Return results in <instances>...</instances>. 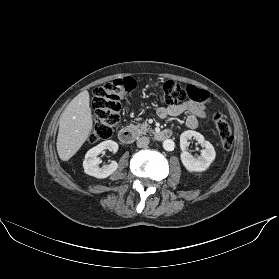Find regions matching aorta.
Returning <instances> with one entry per match:
<instances>
[{"mask_svg":"<svg viewBox=\"0 0 279 279\" xmlns=\"http://www.w3.org/2000/svg\"><path fill=\"white\" fill-rule=\"evenodd\" d=\"M175 147V143L173 140L171 139H166L163 141V148L166 150V151H172Z\"/></svg>","mask_w":279,"mask_h":279,"instance_id":"obj_1","label":"aorta"}]
</instances>
